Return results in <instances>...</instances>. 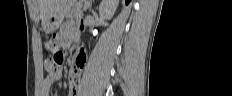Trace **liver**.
<instances>
[{
  "instance_id": "6515ba94",
  "label": "liver",
  "mask_w": 232,
  "mask_h": 96,
  "mask_svg": "<svg viewBox=\"0 0 232 96\" xmlns=\"http://www.w3.org/2000/svg\"><path fill=\"white\" fill-rule=\"evenodd\" d=\"M55 0H38L39 3V10H40V18L42 19V22L46 16V14L49 13L51 10Z\"/></svg>"
}]
</instances>
